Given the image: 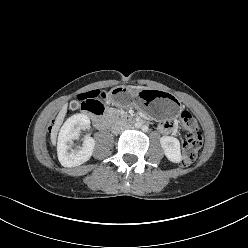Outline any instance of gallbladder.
<instances>
[{
    "label": "gallbladder",
    "mask_w": 248,
    "mask_h": 248,
    "mask_svg": "<svg viewBox=\"0 0 248 248\" xmlns=\"http://www.w3.org/2000/svg\"><path fill=\"white\" fill-rule=\"evenodd\" d=\"M73 106H74V107H77V106H78V102L74 101V102H73Z\"/></svg>",
    "instance_id": "1"
}]
</instances>
